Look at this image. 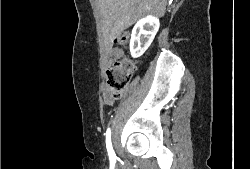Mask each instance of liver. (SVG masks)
<instances>
[{"instance_id": "liver-1", "label": "liver", "mask_w": 250, "mask_h": 169, "mask_svg": "<svg viewBox=\"0 0 250 169\" xmlns=\"http://www.w3.org/2000/svg\"><path fill=\"white\" fill-rule=\"evenodd\" d=\"M106 46L135 20L153 12L163 16L167 0H96Z\"/></svg>"}]
</instances>
